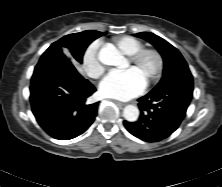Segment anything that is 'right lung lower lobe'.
Listing matches in <instances>:
<instances>
[{"instance_id":"98d812e1","label":"right lung lower lobe","mask_w":222,"mask_h":187,"mask_svg":"<svg viewBox=\"0 0 222 187\" xmlns=\"http://www.w3.org/2000/svg\"><path fill=\"white\" fill-rule=\"evenodd\" d=\"M95 91L63 54L45 52L31 79L32 112L47 134L69 140L85 132L95 120L98 102L86 103Z\"/></svg>"}]
</instances>
